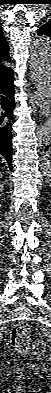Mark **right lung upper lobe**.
<instances>
[{"mask_svg": "<svg viewBox=\"0 0 51 393\" xmlns=\"http://www.w3.org/2000/svg\"><path fill=\"white\" fill-rule=\"evenodd\" d=\"M3 61L10 62L8 43L3 35L2 27H0V77L6 75L11 68L2 64Z\"/></svg>", "mask_w": 51, "mask_h": 393, "instance_id": "obj_1", "label": "right lung upper lobe"}]
</instances>
